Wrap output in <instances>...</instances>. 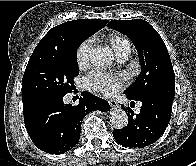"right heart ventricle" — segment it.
Segmentation results:
<instances>
[{"label": "right heart ventricle", "mask_w": 196, "mask_h": 166, "mask_svg": "<svg viewBox=\"0 0 196 166\" xmlns=\"http://www.w3.org/2000/svg\"><path fill=\"white\" fill-rule=\"evenodd\" d=\"M110 44L115 54L123 49H130V42L121 35L114 34L110 37Z\"/></svg>", "instance_id": "e07e8e85"}]
</instances>
